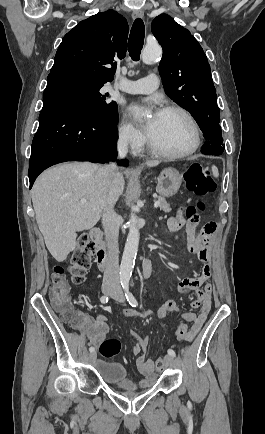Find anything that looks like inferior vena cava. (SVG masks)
<instances>
[{"mask_svg": "<svg viewBox=\"0 0 265 434\" xmlns=\"http://www.w3.org/2000/svg\"><path fill=\"white\" fill-rule=\"evenodd\" d=\"M127 146V136H124L122 140H118V158H125ZM116 168V164H108V166H101V168H99L97 182L100 192L106 194V190H108L110 184H112ZM102 226L104 228L107 248L103 280H106V282H115V284L119 286V228L115 222V212L113 208H107L106 212H103Z\"/></svg>", "mask_w": 265, "mask_h": 434, "instance_id": "obj_1", "label": "inferior vena cava"}]
</instances>
